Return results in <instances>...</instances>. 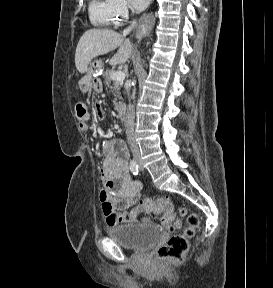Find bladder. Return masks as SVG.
Masks as SVG:
<instances>
[{
	"instance_id": "bladder-1",
	"label": "bladder",
	"mask_w": 273,
	"mask_h": 288,
	"mask_svg": "<svg viewBox=\"0 0 273 288\" xmlns=\"http://www.w3.org/2000/svg\"><path fill=\"white\" fill-rule=\"evenodd\" d=\"M108 235L117 244L134 251L149 249L161 237L159 228L147 222L118 225Z\"/></svg>"
}]
</instances>
